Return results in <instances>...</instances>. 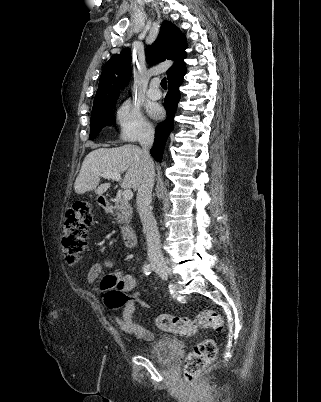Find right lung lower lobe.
Here are the masks:
<instances>
[{
    "label": "right lung lower lobe",
    "mask_w": 321,
    "mask_h": 402,
    "mask_svg": "<svg viewBox=\"0 0 321 402\" xmlns=\"http://www.w3.org/2000/svg\"><path fill=\"white\" fill-rule=\"evenodd\" d=\"M186 70L178 73L168 80L169 92L164 99V107L167 112V118L157 126L155 131V143L150 150L151 155L156 161L161 162L166 140L174 128L173 118L176 112L177 104L180 100L179 87L182 84Z\"/></svg>",
    "instance_id": "98d812e1"
}]
</instances>
